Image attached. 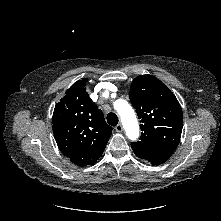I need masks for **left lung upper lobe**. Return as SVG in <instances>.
Instances as JSON below:
<instances>
[{"mask_svg": "<svg viewBox=\"0 0 221 221\" xmlns=\"http://www.w3.org/2000/svg\"><path fill=\"white\" fill-rule=\"evenodd\" d=\"M130 101L141 122L140 141L132 142L135 155L159 165L174 153L183 127L182 109L175 95L152 75L136 77Z\"/></svg>", "mask_w": 221, "mask_h": 221, "instance_id": "5c2ea615", "label": "left lung upper lobe"}]
</instances>
